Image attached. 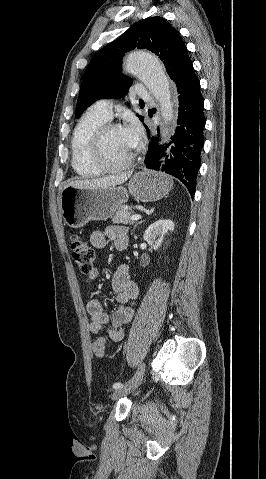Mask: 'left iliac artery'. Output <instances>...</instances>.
Masks as SVG:
<instances>
[{"mask_svg": "<svg viewBox=\"0 0 266 479\" xmlns=\"http://www.w3.org/2000/svg\"><path fill=\"white\" fill-rule=\"evenodd\" d=\"M122 387H123V384H122V383H119V382H118V383H114V384H113V388L116 389V390H117V389H120V388H122Z\"/></svg>", "mask_w": 266, "mask_h": 479, "instance_id": "left-iliac-artery-1", "label": "left iliac artery"}]
</instances>
